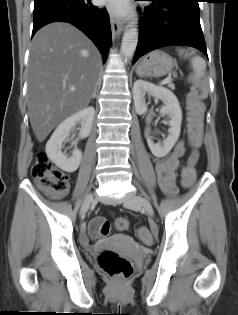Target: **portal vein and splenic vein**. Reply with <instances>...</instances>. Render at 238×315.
Segmentation results:
<instances>
[{"instance_id": "obj_1", "label": "portal vein and splenic vein", "mask_w": 238, "mask_h": 315, "mask_svg": "<svg viewBox=\"0 0 238 315\" xmlns=\"http://www.w3.org/2000/svg\"><path fill=\"white\" fill-rule=\"evenodd\" d=\"M171 81H172V78L169 76V77L165 78V79L161 82V84L164 85V84L170 83ZM70 90H71V91H74V90H75V87H71Z\"/></svg>"}]
</instances>
